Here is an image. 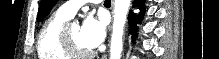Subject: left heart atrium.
Instances as JSON below:
<instances>
[{"label": "left heart atrium", "instance_id": "39dd6f15", "mask_svg": "<svg viewBox=\"0 0 219 59\" xmlns=\"http://www.w3.org/2000/svg\"><path fill=\"white\" fill-rule=\"evenodd\" d=\"M105 23L102 19L87 16L80 27V39L89 49L96 48L104 39Z\"/></svg>", "mask_w": 219, "mask_h": 59}]
</instances>
